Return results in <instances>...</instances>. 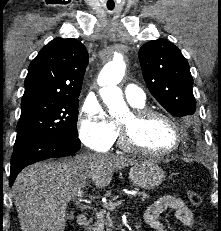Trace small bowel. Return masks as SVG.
Here are the masks:
<instances>
[{
    "mask_svg": "<svg viewBox=\"0 0 221 231\" xmlns=\"http://www.w3.org/2000/svg\"><path fill=\"white\" fill-rule=\"evenodd\" d=\"M168 210L175 211L176 219L185 226H194L193 212L181 198L175 196H164L152 203L145 213L144 222L154 231H166L160 215Z\"/></svg>",
    "mask_w": 221,
    "mask_h": 231,
    "instance_id": "c3829d8e",
    "label": "small bowel"
}]
</instances>
